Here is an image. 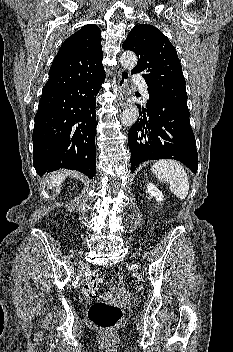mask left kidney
<instances>
[{"instance_id":"1","label":"left kidney","mask_w":233,"mask_h":352,"mask_svg":"<svg viewBox=\"0 0 233 352\" xmlns=\"http://www.w3.org/2000/svg\"><path fill=\"white\" fill-rule=\"evenodd\" d=\"M151 197H154L157 202L163 201V193L152 183L147 184V191Z\"/></svg>"}]
</instances>
